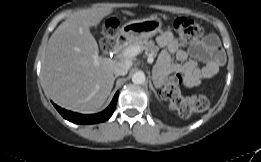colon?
<instances>
[{"mask_svg":"<svg viewBox=\"0 0 261 162\" xmlns=\"http://www.w3.org/2000/svg\"><path fill=\"white\" fill-rule=\"evenodd\" d=\"M116 24H109L104 28V35L101 40L103 50H110L114 46L116 34ZM174 29L179 37L184 41L198 39L203 34L202 27L188 17H178L174 21ZM183 78L179 74L169 75L165 80V85L161 91V97L172 103L183 116H188L191 112H203L209 106L208 98L203 95L185 97L181 92Z\"/></svg>","mask_w":261,"mask_h":162,"instance_id":"colon-1","label":"colon"}]
</instances>
